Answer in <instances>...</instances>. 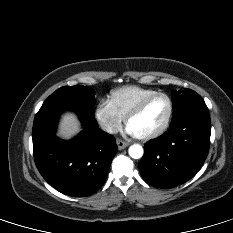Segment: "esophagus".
I'll return each mask as SVG.
<instances>
[{"mask_svg":"<svg viewBox=\"0 0 233 233\" xmlns=\"http://www.w3.org/2000/svg\"><path fill=\"white\" fill-rule=\"evenodd\" d=\"M116 143H117L119 150H123L124 148H126L129 145V143H127L121 139H117Z\"/></svg>","mask_w":233,"mask_h":233,"instance_id":"34e87169","label":"esophagus"}]
</instances>
